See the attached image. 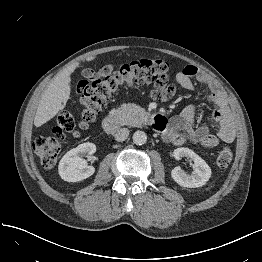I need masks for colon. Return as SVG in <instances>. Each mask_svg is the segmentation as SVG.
<instances>
[{"label":"colon","mask_w":262,"mask_h":262,"mask_svg":"<svg viewBox=\"0 0 262 262\" xmlns=\"http://www.w3.org/2000/svg\"><path fill=\"white\" fill-rule=\"evenodd\" d=\"M168 74L169 66L165 61L149 58L124 65L109 64L97 71L84 70L75 104L58 116L57 124L49 134L39 135L33 141V147L40 156L41 164L45 168L55 165L63 141L68 135L76 134V116L81 117L79 127L85 128L96 118L113 94L128 86L151 84L153 96L158 97L159 93L169 87ZM231 161L230 149L223 146L216 155V167L225 170Z\"/></svg>","instance_id":"obj_1"}]
</instances>
